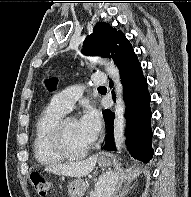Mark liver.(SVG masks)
<instances>
[{
	"mask_svg": "<svg viewBox=\"0 0 191 197\" xmlns=\"http://www.w3.org/2000/svg\"><path fill=\"white\" fill-rule=\"evenodd\" d=\"M98 155L90 158L65 164H54L45 167V171L70 177H85L92 172L97 162Z\"/></svg>",
	"mask_w": 191,
	"mask_h": 197,
	"instance_id": "obj_1",
	"label": "liver"
}]
</instances>
